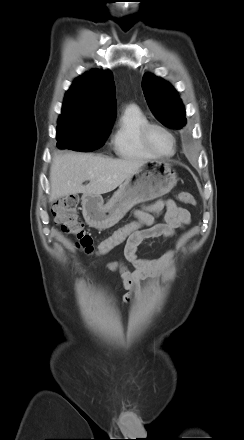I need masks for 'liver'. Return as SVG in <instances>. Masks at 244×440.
I'll return each mask as SVG.
<instances>
[{
  "label": "liver",
  "instance_id": "1",
  "mask_svg": "<svg viewBox=\"0 0 244 440\" xmlns=\"http://www.w3.org/2000/svg\"><path fill=\"white\" fill-rule=\"evenodd\" d=\"M139 159H112L90 153L56 155L50 167V200L82 193L83 196L113 191L143 164ZM89 181L88 185H83Z\"/></svg>",
  "mask_w": 244,
  "mask_h": 440
}]
</instances>
